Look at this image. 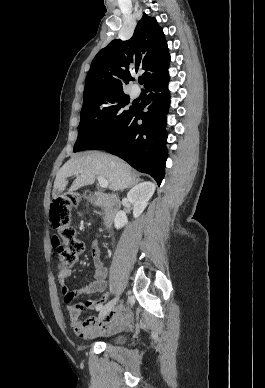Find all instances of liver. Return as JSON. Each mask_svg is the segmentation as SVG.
<instances>
[{"instance_id":"liver-1","label":"liver","mask_w":265,"mask_h":388,"mask_svg":"<svg viewBox=\"0 0 265 388\" xmlns=\"http://www.w3.org/2000/svg\"><path fill=\"white\" fill-rule=\"evenodd\" d=\"M76 176L69 192L79 190L82 186H91L96 176H102L109 182L110 190H125L135 186L140 180H136L131 172V166L109 154L90 152L87 156H73L60 170H58L53 186L52 198L56 200L59 194L66 190L68 184L66 178Z\"/></svg>"}]
</instances>
